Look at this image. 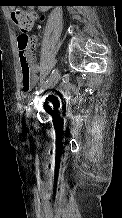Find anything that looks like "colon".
Wrapping results in <instances>:
<instances>
[{
	"mask_svg": "<svg viewBox=\"0 0 122 218\" xmlns=\"http://www.w3.org/2000/svg\"><path fill=\"white\" fill-rule=\"evenodd\" d=\"M11 16L13 22L21 31V36L18 39L21 87L23 91H29L33 86L30 64L33 39L28 33L35 26L37 15L34 12L15 9Z\"/></svg>",
	"mask_w": 122,
	"mask_h": 218,
	"instance_id": "5ec220e1",
	"label": "colon"
}]
</instances>
